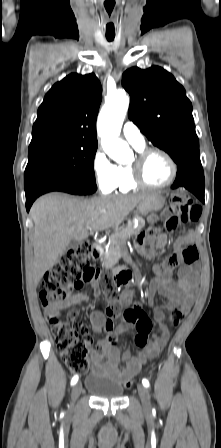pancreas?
<instances>
[{"label": "pancreas", "instance_id": "pancreas-1", "mask_svg": "<svg viewBox=\"0 0 221 448\" xmlns=\"http://www.w3.org/2000/svg\"><path fill=\"white\" fill-rule=\"evenodd\" d=\"M138 222L139 224L136 229H131L132 223H130L127 224L124 229L114 233L111 236L110 245L102 258L103 267L113 269L114 265L118 263L123 253L126 252V240L130 239L134 235H137L145 225V221L141 217L138 218Z\"/></svg>", "mask_w": 221, "mask_h": 448}]
</instances>
